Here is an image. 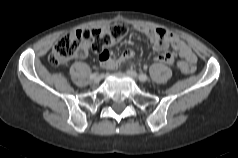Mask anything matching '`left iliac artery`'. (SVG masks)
Masks as SVG:
<instances>
[{"label": "left iliac artery", "instance_id": "44dca946", "mask_svg": "<svg viewBox=\"0 0 238 158\" xmlns=\"http://www.w3.org/2000/svg\"><path fill=\"white\" fill-rule=\"evenodd\" d=\"M139 79L140 81H146L148 79V76L146 74H140Z\"/></svg>", "mask_w": 238, "mask_h": 158}]
</instances>
